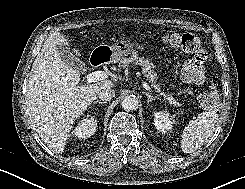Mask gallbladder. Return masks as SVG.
Wrapping results in <instances>:
<instances>
[{"label": "gallbladder", "instance_id": "bac80fb5", "mask_svg": "<svg viewBox=\"0 0 245 189\" xmlns=\"http://www.w3.org/2000/svg\"><path fill=\"white\" fill-rule=\"evenodd\" d=\"M61 59L71 68L76 71H82L85 64L76 56H74L68 47L59 45L57 47Z\"/></svg>", "mask_w": 245, "mask_h": 189}]
</instances>
